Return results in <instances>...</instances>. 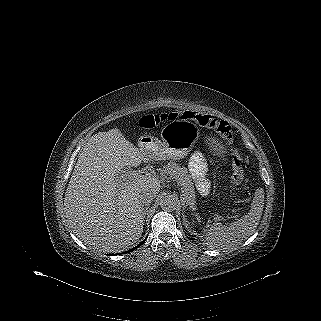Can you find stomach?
<instances>
[{
  "label": "stomach",
  "mask_w": 321,
  "mask_h": 321,
  "mask_svg": "<svg viewBox=\"0 0 321 321\" xmlns=\"http://www.w3.org/2000/svg\"><path fill=\"white\" fill-rule=\"evenodd\" d=\"M200 137L198 127L188 120H174L167 123L161 130V140L156 137L144 135L139 138L138 144L142 149H149L161 158L180 159L191 151ZM210 147L224 153V146L211 139Z\"/></svg>",
  "instance_id": "1"
}]
</instances>
